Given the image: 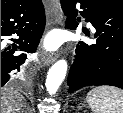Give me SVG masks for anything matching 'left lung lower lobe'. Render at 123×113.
I'll list each match as a JSON object with an SVG mask.
<instances>
[{
  "instance_id": "0a47b994",
  "label": "left lung lower lobe",
  "mask_w": 123,
  "mask_h": 113,
  "mask_svg": "<svg viewBox=\"0 0 123 113\" xmlns=\"http://www.w3.org/2000/svg\"><path fill=\"white\" fill-rule=\"evenodd\" d=\"M76 3L83 17L96 29V43L84 42L76 48L68 76L69 93L92 85H111L123 89V10L105 0H61L66 27L76 29Z\"/></svg>"
}]
</instances>
